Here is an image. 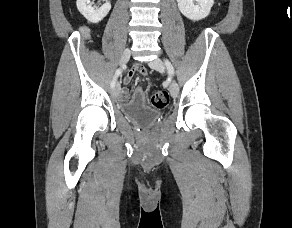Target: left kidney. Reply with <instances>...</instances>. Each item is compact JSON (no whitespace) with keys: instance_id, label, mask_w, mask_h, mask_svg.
I'll return each instance as SVG.
<instances>
[{"instance_id":"5707ae66","label":"left kidney","mask_w":292,"mask_h":228,"mask_svg":"<svg viewBox=\"0 0 292 228\" xmlns=\"http://www.w3.org/2000/svg\"><path fill=\"white\" fill-rule=\"evenodd\" d=\"M194 1L197 4H194ZM180 12L190 20L199 21L206 18L214 4V0H177Z\"/></svg>"}]
</instances>
